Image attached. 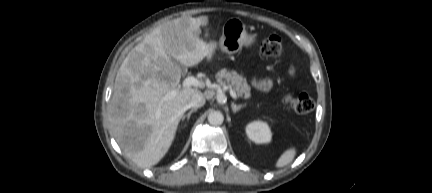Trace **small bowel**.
I'll list each match as a JSON object with an SVG mask.
<instances>
[{
	"mask_svg": "<svg viewBox=\"0 0 432 193\" xmlns=\"http://www.w3.org/2000/svg\"><path fill=\"white\" fill-rule=\"evenodd\" d=\"M290 74L293 75L294 71L290 70ZM253 86L261 92H268L273 87V80L272 79L254 80Z\"/></svg>",
	"mask_w": 432,
	"mask_h": 193,
	"instance_id": "1",
	"label": "small bowel"
}]
</instances>
